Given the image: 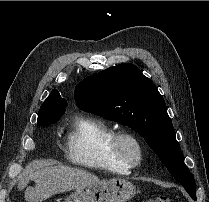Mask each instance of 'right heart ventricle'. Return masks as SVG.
<instances>
[{
  "mask_svg": "<svg viewBox=\"0 0 209 202\" xmlns=\"http://www.w3.org/2000/svg\"><path fill=\"white\" fill-rule=\"evenodd\" d=\"M113 126L99 118L80 117L68 129L65 153L75 164L105 169L116 173H129L132 167L114 158L110 150Z\"/></svg>",
  "mask_w": 209,
  "mask_h": 202,
  "instance_id": "right-heart-ventricle-1",
  "label": "right heart ventricle"
}]
</instances>
